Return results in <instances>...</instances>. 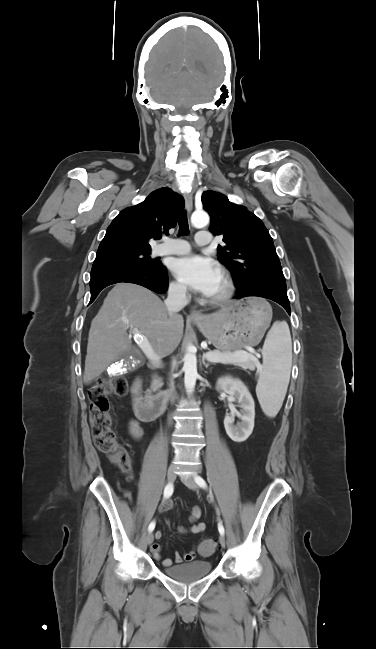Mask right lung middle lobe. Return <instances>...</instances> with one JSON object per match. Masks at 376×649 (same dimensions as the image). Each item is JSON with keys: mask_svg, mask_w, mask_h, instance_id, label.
Wrapping results in <instances>:
<instances>
[{"mask_svg": "<svg viewBox=\"0 0 376 649\" xmlns=\"http://www.w3.org/2000/svg\"><path fill=\"white\" fill-rule=\"evenodd\" d=\"M149 254L150 251H120L97 254L92 270L114 264L154 267L158 262L151 259Z\"/></svg>", "mask_w": 376, "mask_h": 649, "instance_id": "dd1d6c3e", "label": "right lung middle lobe"}]
</instances>
